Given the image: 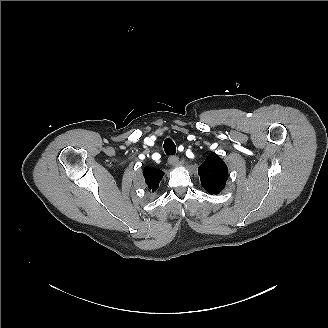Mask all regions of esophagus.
I'll return each instance as SVG.
<instances>
[{"mask_svg":"<svg viewBox=\"0 0 328 328\" xmlns=\"http://www.w3.org/2000/svg\"><path fill=\"white\" fill-rule=\"evenodd\" d=\"M179 162V158L176 155H170L168 158V164L171 166L177 165Z\"/></svg>","mask_w":328,"mask_h":328,"instance_id":"34e87169","label":"esophagus"}]
</instances>
